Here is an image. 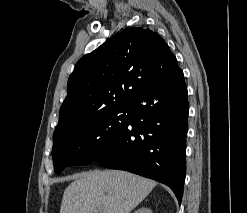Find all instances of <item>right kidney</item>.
I'll return each instance as SVG.
<instances>
[{"label": "right kidney", "instance_id": "obj_1", "mask_svg": "<svg viewBox=\"0 0 247 213\" xmlns=\"http://www.w3.org/2000/svg\"><path fill=\"white\" fill-rule=\"evenodd\" d=\"M133 213H152V211L150 208L141 207V208L135 210Z\"/></svg>", "mask_w": 247, "mask_h": 213}]
</instances>
